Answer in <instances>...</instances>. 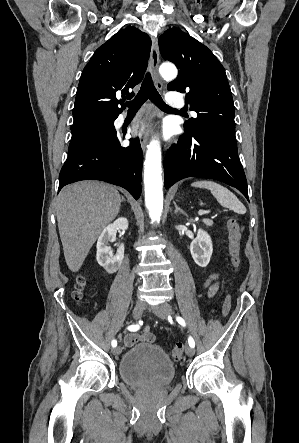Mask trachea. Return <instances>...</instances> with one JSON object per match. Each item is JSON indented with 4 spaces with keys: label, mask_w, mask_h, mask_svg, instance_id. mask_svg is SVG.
<instances>
[{
    "label": "trachea",
    "mask_w": 299,
    "mask_h": 443,
    "mask_svg": "<svg viewBox=\"0 0 299 443\" xmlns=\"http://www.w3.org/2000/svg\"><path fill=\"white\" fill-rule=\"evenodd\" d=\"M148 98L162 110H174L163 101L162 97L157 92L150 73L146 74L141 89L136 97L132 101L127 102L126 105L130 112H136Z\"/></svg>",
    "instance_id": "trachea-1"
}]
</instances>
